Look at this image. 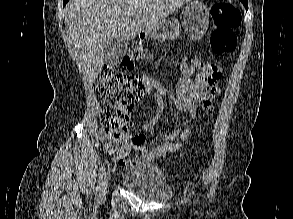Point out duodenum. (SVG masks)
Listing matches in <instances>:
<instances>
[{
    "label": "duodenum",
    "mask_w": 293,
    "mask_h": 219,
    "mask_svg": "<svg viewBox=\"0 0 293 219\" xmlns=\"http://www.w3.org/2000/svg\"><path fill=\"white\" fill-rule=\"evenodd\" d=\"M147 37V29H143L141 32H140V39L143 41L145 40Z\"/></svg>",
    "instance_id": "duodenum-1"
}]
</instances>
